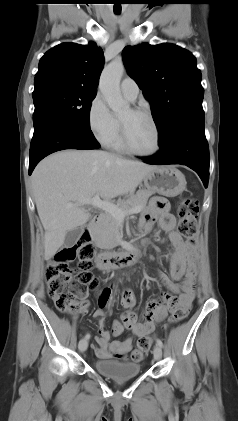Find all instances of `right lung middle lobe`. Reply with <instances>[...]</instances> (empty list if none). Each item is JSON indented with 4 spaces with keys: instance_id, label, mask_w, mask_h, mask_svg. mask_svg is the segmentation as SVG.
I'll return each instance as SVG.
<instances>
[{
    "instance_id": "right-lung-middle-lobe-1",
    "label": "right lung middle lobe",
    "mask_w": 238,
    "mask_h": 421,
    "mask_svg": "<svg viewBox=\"0 0 238 421\" xmlns=\"http://www.w3.org/2000/svg\"><path fill=\"white\" fill-rule=\"evenodd\" d=\"M95 91H87L58 84L35 87L33 102L35 125L44 115L57 116L77 129L93 136L90 129L89 114Z\"/></svg>"
}]
</instances>
